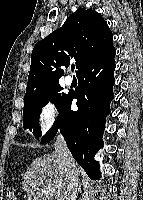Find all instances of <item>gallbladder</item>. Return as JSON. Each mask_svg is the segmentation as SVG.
Masks as SVG:
<instances>
[{
	"label": "gallbladder",
	"instance_id": "gallbladder-1",
	"mask_svg": "<svg viewBox=\"0 0 143 200\" xmlns=\"http://www.w3.org/2000/svg\"><path fill=\"white\" fill-rule=\"evenodd\" d=\"M32 200H38V199H37V197L33 196V197H32Z\"/></svg>",
	"mask_w": 143,
	"mask_h": 200
}]
</instances>
